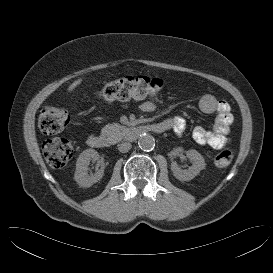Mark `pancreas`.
<instances>
[{"label": "pancreas", "mask_w": 273, "mask_h": 273, "mask_svg": "<svg viewBox=\"0 0 273 273\" xmlns=\"http://www.w3.org/2000/svg\"><path fill=\"white\" fill-rule=\"evenodd\" d=\"M128 131L129 129L127 127L114 123L104 126L101 130V134L108 137V139L112 142H118L126 135Z\"/></svg>", "instance_id": "obj_1"}]
</instances>
